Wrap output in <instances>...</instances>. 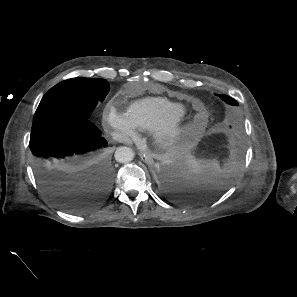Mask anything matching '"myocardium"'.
<instances>
[{
  "label": "myocardium",
  "mask_w": 297,
  "mask_h": 297,
  "mask_svg": "<svg viewBox=\"0 0 297 297\" xmlns=\"http://www.w3.org/2000/svg\"><path fill=\"white\" fill-rule=\"evenodd\" d=\"M188 128L185 115L167 120L151 129L152 140L160 152H166L180 143Z\"/></svg>",
  "instance_id": "1"
}]
</instances>
